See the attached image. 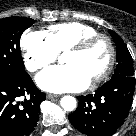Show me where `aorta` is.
Here are the masks:
<instances>
[{"label":"aorta","instance_id":"762f6f07","mask_svg":"<svg viewBox=\"0 0 136 136\" xmlns=\"http://www.w3.org/2000/svg\"><path fill=\"white\" fill-rule=\"evenodd\" d=\"M61 62V58L59 59ZM61 107L65 111H73L76 108V99L73 96H64L60 101Z\"/></svg>","mask_w":136,"mask_h":136}]
</instances>
